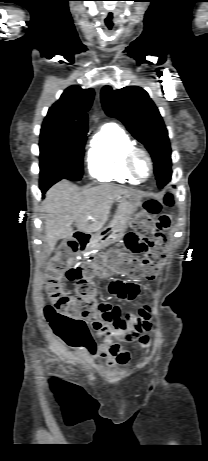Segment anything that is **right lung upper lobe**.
Listing matches in <instances>:
<instances>
[{
    "mask_svg": "<svg viewBox=\"0 0 208 461\" xmlns=\"http://www.w3.org/2000/svg\"><path fill=\"white\" fill-rule=\"evenodd\" d=\"M93 97V89H82L77 85L68 87L49 109L43 124L69 132L87 133L86 112L91 107Z\"/></svg>",
    "mask_w": 208,
    "mask_h": 461,
    "instance_id": "1",
    "label": "right lung upper lobe"
}]
</instances>
